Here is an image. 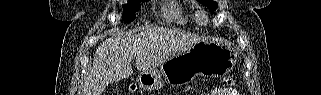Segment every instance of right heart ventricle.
<instances>
[{"mask_svg":"<svg viewBox=\"0 0 321 95\" xmlns=\"http://www.w3.org/2000/svg\"><path fill=\"white\" fill-rule=\"evenodd\" d=\"M162 16L166 21L180 24H184L189 18L188 9L176 1L170 2L163 8Z\"/></svg>","mask_w":321,"mask_h":95,"instance_id":"e07e8e85","label":"right heart ventricle"}]
</instances>
